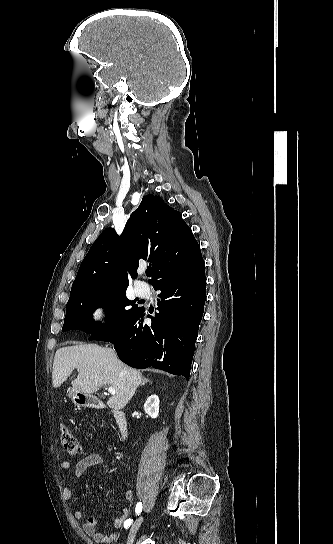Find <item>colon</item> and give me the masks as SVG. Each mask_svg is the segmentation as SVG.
Masks as SVG:
<instances>
[{"instance_id":"5ec220e1","label":"colon","mask_w":333,"mask_h":544,"mask_svg":"<svg viewBox=\"0 0 333 544\" xmlns=\"http://www.w3.org/2000/svg\"><path fill=\"white\" fill-rule=\"evenodd\" d=\"M60 431V440L64 450L70 454L81 453V442L64 425L60 426Z\"/></svg>"}]
</instances>
